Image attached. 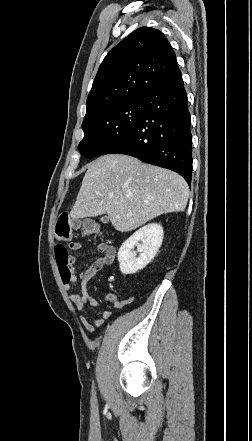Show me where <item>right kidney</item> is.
I'll list each match as a JSON object with an SVG mask.
<instances>
[{
  "instance_id": "1",
  "label": "right kidney",
  "mask_w": 252,
  "mask_h": 441,
  "mask_svg": "<svg viewBox=\"0 0 252 441\" xmlns=\"http://www.w3.org/2000/svg\"><path fill=\"white\" fill-rule=\"evenodd\" d=\"M163 235L162 226L158 223H151L130 236L118 251L119 267L122 274H135L146 267L157 254L162 244ZM134 246L140 253L137 258L135 257L136 253L132 252Z\"/></svg>"
}]
</instances>
